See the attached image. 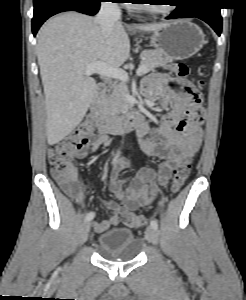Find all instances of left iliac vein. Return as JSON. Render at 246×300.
<instances>
[{
	"label": "left iliac vein",
	"instance_id": "4c4485c4",
	"mask_svg": "<svg viewBox=\"0 0 246 300\" xmlns=\"http://www.w3.org/2000/svg\"><path fill=\"white\" fill-rule=\"evenodd\" d=\"M145 235L150 243L154 245L158 244V232L155 228H153L152 226H148Z\"/></svg>",
	"mask_w": 246,
	"mask_h": 300
}]
</instances>
